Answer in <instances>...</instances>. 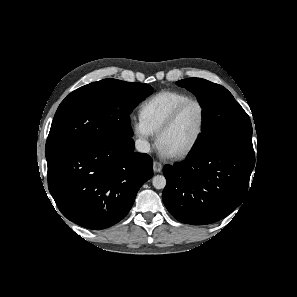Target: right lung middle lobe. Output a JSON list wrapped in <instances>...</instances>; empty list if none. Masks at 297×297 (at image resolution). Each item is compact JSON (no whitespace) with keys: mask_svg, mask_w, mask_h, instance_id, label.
I'll return each mask as SVG.
<instances>
[{"mask_svg":"<svg viewBox=\"0 0 297 297\" xmlns=\"http://www.w3.org/2000/svg\"><path fill=\"white\" fill-rule=\"evenodd\" d=\"M152 91L148 84L110 78L73 91L54 116L46 142V159L85 143L131 138L129 114Z\"/></svg>","mask_w":297,"mask_h":297,"instance_id":"obj_1","label":"right lung middle lobe"}]
</instances>
